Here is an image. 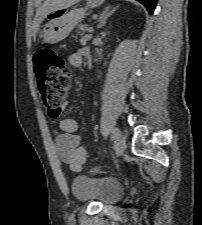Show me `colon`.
Wrapping results in <instances>:
<instances>
[{
	"label": "colon",
	"mask_w": 202,
	"mask_h": 225,
	"mask_svg": "<svg viewBox=\"0 0 202 225\" xmlns=\"http://www.w3.org/2000/svg\"><path fill=\"white\" fill-rule=\"evenodd\" d=\"M34 62L42 103L50 120L55 121L71 86V72L63 58L50 49L36 53Z\"/></svg>",
	"instance_id": "colon-1"
}]
</instances>
